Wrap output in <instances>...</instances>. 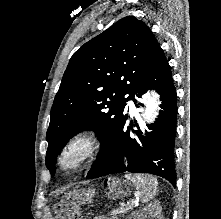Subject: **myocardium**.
Wrapping results in <instances>:
<instances>
[{"label":"myocardium","mask_w":221,"mask_h":219,"mask_svg":"<svg viewBox=\"0 0 221 219\" xmlns=\"http://www.w3.org/2000/svg\"><path fill=\"white\" fill-rule=\"evenodd\" d=\"M99 147V138L93 132H86L74 136L65 144L58 156L59 169L66 174L78 172L95 158ZM75 151L79 152L76 161L72 165H67V159Z\"/></svg>","instance_id":"myocardium-1"}]
</instances>
